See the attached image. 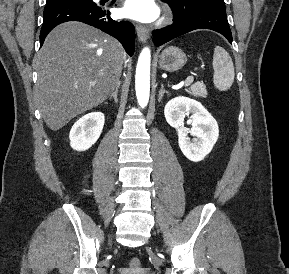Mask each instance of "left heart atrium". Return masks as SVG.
<instances>
[{
	"instance_id": "left-heart-atrium-1",
	"label": "left heart atrium",
	"mask_w": 289,
	"mask_h": 274,
	"mask_svg": "<svg viewBox=\"0 0 289 274\" xmlns=\"http://www.w3.org/2000/svg\"><path fill=\"white\" fill-rule=\"evenodd\" d=\"M158 13L154 0H125L122 7L124 16L141 22L153 21Z\"/></svg>"
}]
</instances>
